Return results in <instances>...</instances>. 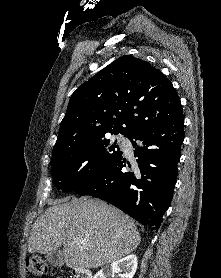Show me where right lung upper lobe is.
<instances>
[{
  "label": "right lung upper lobe",
  "mask_w": 221,
  "mask_h": 278,
  "mask_svg": "<svg viewBox=\"0 0 221 278\" xmlns=\"http://www.w3.org/2000/svg\"><path fill=\"white\" fill-rule=\"evenodd\" d=\"M183 114L172 83L147 61L122 56L71 96L53 151L106 133H131Z\"/></svg>",
  "instance_id": "obj_1"
}]
</instances>
